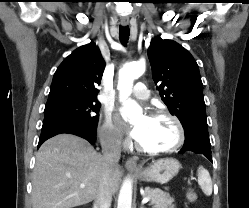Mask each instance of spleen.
Masks as SVG:
<instances>
[{
  "label": "spleen",
  "instance_id": "1",
  "mask_svg": "<svg viewBox=\"0 0 249 208\" xmlns=\"http://www.w3.org/2000/svg\"><path fill=\"white\" fill-rule=\"evenodd\" d=\"M198 184L205 195L210 196L212 194L211 177L209 172L203 166H199L198 168Z\"/></svg>",
  "mask_w": 249,
  "mask_h": 208
}]
</instances>
